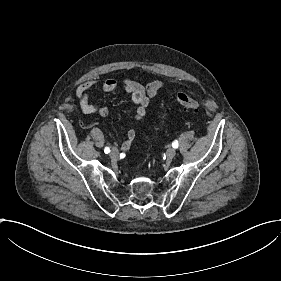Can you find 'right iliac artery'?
Listing matches in <instances>:
<instances>
[{"mask_svg":"<svg viewBox=\"0 0 281 281\" xmlns=\"http://www.w3.org/2000/svg\"><path fill=\"white\" fill-rule=\"evenodd\" d=\"M104 152H105L106 154H108V153H110V149H109L108 147H105Z\"/></svg>","mask_w":281,"mask_h":281,"instance_id":"obj_1","label":"right iliac artery"}]
</instances>
